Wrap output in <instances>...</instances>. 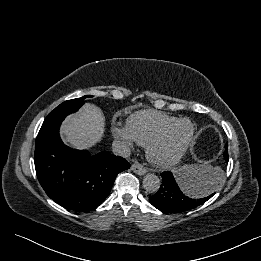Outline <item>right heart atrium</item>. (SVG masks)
Segmentation results:
<instances>
[{
	"mask_svg": "<svg viewBox=\"0 0 261 261\" xmlns=\"http://www.w3.org/2000/svg\"><path fill=\"white\" fill-rule=\"evenodd\" d=\"M111 133L115 139L120 141L125 149L130 150L134 147L136 141L130 134L127 126L115 124L111 128Z\"/></svg>",
	"mask_w": 261,
	"mask_h": 261,
	"instance_id": "d8ad5b80",
	"label": "right heart atrium"
}]
</instances>
